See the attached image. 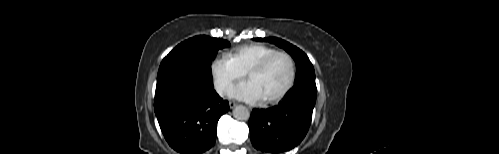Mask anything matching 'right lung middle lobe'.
<instances>
[{
	"label": "right lung middle lobe",
	"mask_w": 499,
	"mask_h": 154,
	"mask_svg": "<svg viewBox=\"0 0 499 154\" xmlns=\"http://www.w3.org/2000/svg\"><path fill=\"white\" fill-rule=\"evenodd\" d=\"M229 46L226 40L205 35L180 43L162 60L156 88L185 80L212 85L211 62L219 49Z\"/></svg>",
	"instance_id": "obj_1"
}]
</instances>
